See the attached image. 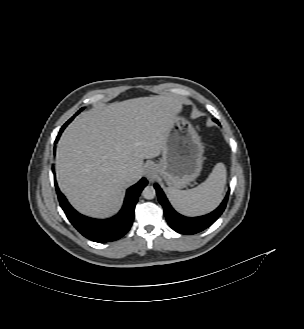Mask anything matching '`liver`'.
I'll return each mask as SVG.
<instances>
[{"label": "liver", "mask_w": 304, "mask_h": 329, "mask_svg": "<svg viewBox=\"0 0 304 329\" xmlns=\"http://www.w3.org/2000/svg\"><path fill=\"white\" fill-rule=\"evenodd\" d=\"M182 104L175 95L139 97L96 106L74 119L55 159L58 185L72 206L91 217L115 213L124 188L143 175V160L161 154ZM122 167L131 169L127 178Z\"/></svg>", "instance_id": "liver-1"}]
</instances>
